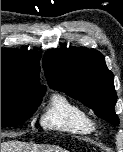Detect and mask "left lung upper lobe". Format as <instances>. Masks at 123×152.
I'll use <instances>...</instances> for the list:
<instances>
[{
	"label": "left lung upper lobe",
	"instance_id": "obj_1",
	"mask_svg": "<svg viewBox=\"0 0 123 152\" xmlns=\"http://www.w3.org/2000/svg\"><path fill=\"white\" fill-rule=\"evenodd\" d=\"M42 63L50 88L78 99L111 124H119L114 76L100 52L85 47L51 49Z\"/></svg>",
	"mask_w": 123,
	"mask_h": 152
}]
</instances>
